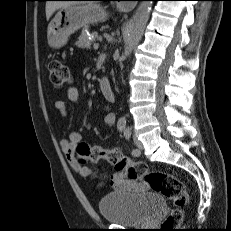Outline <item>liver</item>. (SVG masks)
Returning <instances> with one entry per match:
<instances>
[{
    "mask_svg": "<svg viewBox=\"0 0 231 231\" xmlns=\"http://www.w3.org/2000/svg\"><path fill=\"white\" fill-rule=\"evenodd\" d=\"M73 4H79L76 2H70V1H48L46 3V18L47 20L50 19L52 14L60 8L67 7Z\"/></svg>",
    "mask_w": 231,
    "mask_h": 231,
    "instance_id": "1",
    "label": "liver"
}]
</instances>
